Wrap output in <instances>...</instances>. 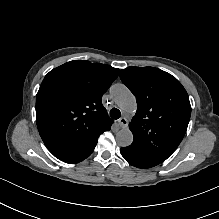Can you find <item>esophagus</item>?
Instances as JSON below:
<instances>
[{"mask_svg":"<svg viewBox=\"0 0 219 219\" xmlns=\"http://www.w3.org/2000/svg\"><path fill=\"white\" fill-rule=\"evenodd\" d=\"M118 124L121 128H126L128 126V121H127L126 117H121L118 120Z\"/></svg>","mask_w":219,"mask_h":219,"instance_id":"obj_1","label":"esophagus"}]
</instances>
